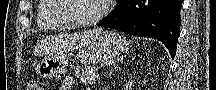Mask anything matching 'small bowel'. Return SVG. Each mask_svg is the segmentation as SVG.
I'll list each match as a JSON object with an SVG mask.
<instances>
[{
	"label": "small bowel",
	"instance_id": "obj_1",
	"mask_svg": "<svg viewBox=\"0 0 216 90\" xmlns=\"http://www.w3.org/2000/svg\"><path fill=\"white\" fill-rule=\"evenodd\" d=\"M72 83H73V79L71 77H68L64 83L62 84L60 90H71L72 87Z\"/></svg>",
	"mask_w": 216,
	"mask_h": 90
}]
</instances>
